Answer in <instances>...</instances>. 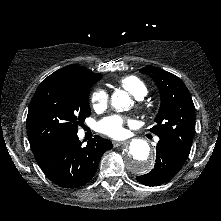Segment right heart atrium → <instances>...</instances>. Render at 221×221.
Returning <instances> with one entry per match:
<instances>
[{"label":"right heart atrium","mask_w":221,"mask_h":221,"mask_svg":"<svg viewBox=\"0 0 221 221\" xmlns=\"http://www.w3.org/2000/svg\"><path fill=\"white\" fill-rule=\"evenodd\" d=\"M108 101V93L100 88L94 90L90 98L91 105L96 111L104 110L108 105Z\"/></svg>","instance_id":"1"}]
</instances>
